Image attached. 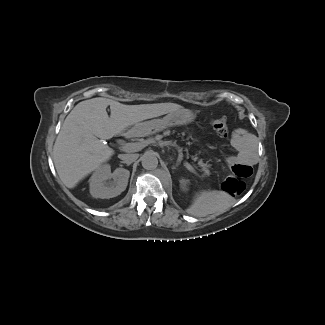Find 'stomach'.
I'll return each instance as SVG.
<instances>
[{
  "label": "stomach",
  "instance_id": "1",
  "mask_svg": "<svg viewBox=\"0 0 325 325\" xmlns=\"http://www.w3.org/2000/svg\"><path fill=\"white\" fill-rule=\"evenodd\" d=\"M193 118L192 114L178 110L169 113L163 119H154L144 123H140L133 127L130 131L137 137L147 136L159 132L166 127L182 125L188 123Z\"/></svg>",
  "mask_w": 325,
  "mask_h": 325
}]
</instances>
